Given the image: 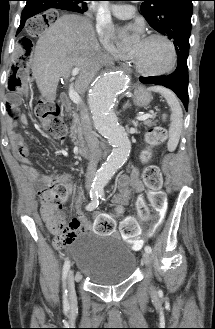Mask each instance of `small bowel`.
<instances>
[{
    "instance_id": "obj_1",
    "label": "small bowel",
    "mask_w": 215,
    "mask_h": 329,
    "mask_svg": "<svg viewBox=\"0 0 215 329\" xmlns=\"http://www.w3.org/2000/svg\"><path fill=\"white\" fill-rule=\"evenodd\" d=\"M16 121H8V134L12 140V146L15 156L26 167L32 178L41 184L39 188V195L41 198L40 211L44 222L47 227L52 231V227L57 223H66V216L60 211H56L51 206L47 205L44 201V191L49 186L52 177L43 175L37 170L29 160L30 149L25 143L21 133L16 129ZM65 182H68V175H56ZM118 195L114 197V201L119 204L120 210H129L131 218H148L150 207L147 206L146 189L141 182L136 170H132L129 173H125L118 178ZM68 194L71 195L74 191V187L71 184H67ZM95 216H100L101 219H112V212H96ZM69 225H73L71 228V238L67 243H72L79 234L88 233L90 231L95 232V236H112V232H115L116 227H119V220H94L92 224L84 217L83 214H79L76 218L72 219ZM53 232V231H52ZM54 233V232H53ZM55 234V233H54ZM134 250H139L144 244L142 237L129 241ZM54 246L60 248L62 245L57 244V237L54 240Z\"/></svg>"
}]
</instances>
